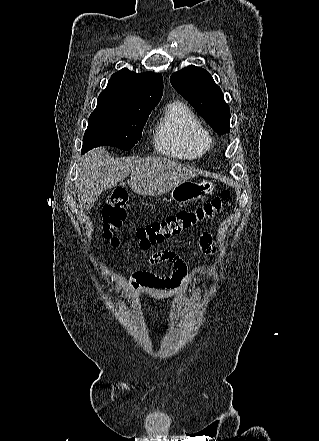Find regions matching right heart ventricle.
<instances>
[{
	"instance_id": "right-heart-ventricle-1",
	"label": "right heart ventricle",
	"mask_w": 319,
	"mask_h": 441,
	"mask_svg": "<svg viewBox=\"0 0 319 441\" xmlns=\"http://www.w3.org/2000/svg\"><path fill=\"white\" fill-rule=\"evenodd\" d=\"M157 151L168 156L195 159L203 156L212 138L191 108L183 102H172L157 121L154 134Z\"/></svg>"
}]
</instances>
